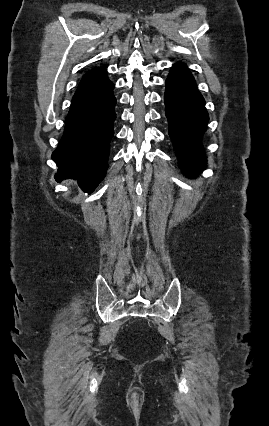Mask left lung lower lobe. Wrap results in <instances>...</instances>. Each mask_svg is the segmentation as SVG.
Listing matches in <instances>:
<instances>
[{
	"instance_id": "left-lung-lower-lobe-1",
	"label": "left lung lower lobe",
	"mask_w": 269,
	"mask_h": 426,
	"mask_svg": "<svg viewBox=\"0 0 269 426\" xmlns=\"http://www.w3.org/2000/svg\"><path fill=\"white\" fill-rule=\"evenodd\" d=\"M164 102L169 135L180 167L186 175L196 176L206 164L201 138L209 117L204 98L184 64L176 63L171 68L166 80Z\"/></svg>"
}]
</instances>
